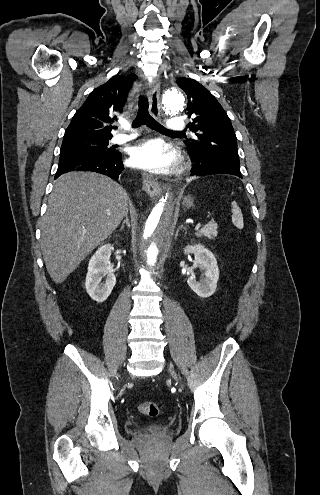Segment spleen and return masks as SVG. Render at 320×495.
<instances>
[{"instance_id":"1","label":"spleen","mask_w":320,"mask_h":495,"mask_svg":"<svg viewBox=\"0 0 320 495\" xmlns=\"http://www.w3.org/2000/svg\"><path fill=\"white\" fill-rule=\"evenodd\" d=\"M231 207H232V209H231L232 222L237 228L242 229L243 228V216H242L241 209L238 207V205L235 201H233L231 203Z\"/></svg>"}]
</instances>
